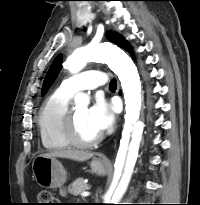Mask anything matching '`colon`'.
Here are the masks:
<instances>
[{"instance_id": "colon-1", "label": "colon", "mask_w": 200, "mask_h": 205, "mask_svg": "<svg viewBox=\"0 0 200 205\" xmlns=\"http://www.w3.org/2000/svg\"><path fill=\"white\" fill-rule=\"evenodd\" d=\"M38 204L37 205H55L54 197L48 190H42L38 193Z\"/></svg>"}]
</instances>
